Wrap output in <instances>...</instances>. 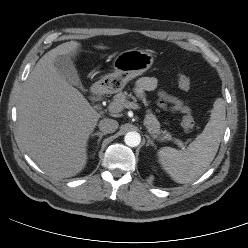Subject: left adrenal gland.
<instances>
[{"mask_svg": "<svg viewBox=\"0 0 248 248\" xmlns=\"http://www.w3.org/2000/svg\"><path fill=\"white\" fill-rule=\"evenodd\" d=\"M147 138V143L146 146H153L154 148H156L155 144L153 143V141L151 140L149 135H146Z\"/></svg>", "mask_w": 248, "mask_h": 248, "instance_id": "a2214340", "label": "left adrenal gland"}]
</instances>
